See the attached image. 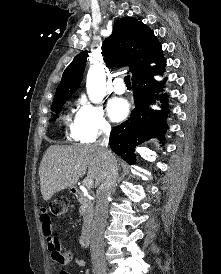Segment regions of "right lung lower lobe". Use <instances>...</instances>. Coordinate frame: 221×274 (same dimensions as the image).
I'll return each instance as SVG.
<instances>
[{
  "label": "right lung lower lobe",
  "instance_id": "right-lung-lower-lobe-1",
  "mask_svg": "<svg viewBox=\"0 0 221 274\" xmlns=\"http://www.w3.org/2000/svg\"><path fill=\"white\" fill-rule=\"evenodd\" d=\"M165 65V60H163L148 73L132 80L135 108L127 121L114 127L111 131V149L130 164L136 161L134 151L137 145L153 136L160 135L163 138V133L167 129L166 116L169 113L167 98L161 96L162 110L152 111L150 108V104L157 99L154 92L158 91L157 88H162L164 84L163 81H155L153 76L161 74Z\"/></svg>",
  "mask_w": 221,
  "mask_h": 274
}]
</instances>
